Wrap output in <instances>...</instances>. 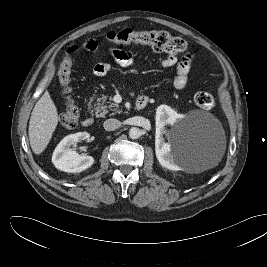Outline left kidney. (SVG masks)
Instances as JSON below:
<instances>
[{"label": "left kidney", "instance_id": "5707ae66", "mask_svg": "<svg viewBox=\"0 0 267 267\" xmlns=\"http://www.w3.org/2000/svg\"><path fill=\"white\" fill-rule=\"evenodd\" d=\"M183 118L182 114H178L175 110L167 105H160L156 109V139H155V153L160 165L171 171H178L182 168L174 159L172 148L169 143L163 140V134L166 133L165 125H173Z\"/></svg>", "mask_w": 267, "mask_h": 267}]
</instances>
